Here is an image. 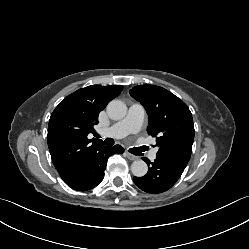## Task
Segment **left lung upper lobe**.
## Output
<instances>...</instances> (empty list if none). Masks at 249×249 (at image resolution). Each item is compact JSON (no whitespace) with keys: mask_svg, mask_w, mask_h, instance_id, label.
<instances>
[{"mask_svg":"<svg viewBox=\"0 0 249 249\" xmlns=\"http://www.w3.org/2000/svg\"><path fill=\"white\" fill-rule=\"evenodd\" d=\"M149 116V135L156 137V157L186 167L192 152L194 125L187 105L168 90L139 85L129 91Z\"/></svg>","mask_w":249,"mask_h":249,"instance_id":"5c2ea615","label":"left lung upper lobe"}]
</instances>
